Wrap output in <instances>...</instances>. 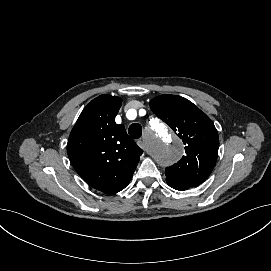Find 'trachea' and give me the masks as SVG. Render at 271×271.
Listing matches in <instances>:
<instances>
[{
    "mask_svg": "<svg viewBox=\"0 0 271 271\" xmlns=\"http://www.w3.org/2000/svg\"><path fill=\"white\" fill-rule=\"evenodd\" d=\"M128 133L134 139L140 138L142 136V127H141V125L138 124V123L131 124L129 129H128Z\"/></svg>",
    "mask_w": 271,
    "mask_h": 271,
    "instance_id": "obj_1",
    "label": "trachea"
}]
</instances>
